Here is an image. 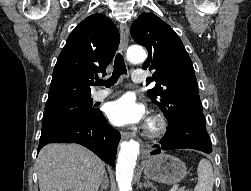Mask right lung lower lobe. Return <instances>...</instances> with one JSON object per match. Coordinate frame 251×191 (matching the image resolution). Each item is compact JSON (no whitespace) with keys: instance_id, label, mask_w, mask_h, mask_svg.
Masks as SVG:
<instances>
[{"instance_id":"98d812e1","label":"right lung lower lobe","mask_w":251,"mask_h":191,"mask_svg":"<svg viewBox=\"0 0 251 191\" xmlns=\"http://www.w3.org/2000/svg\"><path fill=\"white\" fill-rule=\"evenodd\" d=\"M119 141V132L106 123L100 112L92 119L70 117L42 127L37 153L49 143H78L114 167Z\"/></svg>"}]
</instances>
